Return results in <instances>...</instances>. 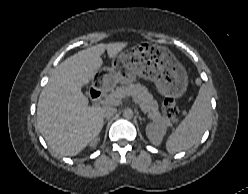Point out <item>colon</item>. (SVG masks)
<instances>
[{"instance_id": "5ec220e1", "label": "colon", "mask_w": 248, "mask_h": 194, "mask_svg": "<svg viewBox=\"0 0 248 194\" xmlns=\"http://www.w3.org/2000/svg\"><path fill=\"white\" fill-rule=\"evenodd\" d=\"M161 110L166 118L178 122L177 100L174 96H168L163 100Z\"/></svg>"}]
</instances>
